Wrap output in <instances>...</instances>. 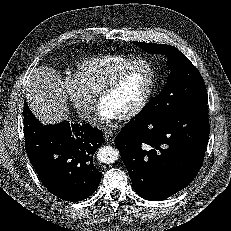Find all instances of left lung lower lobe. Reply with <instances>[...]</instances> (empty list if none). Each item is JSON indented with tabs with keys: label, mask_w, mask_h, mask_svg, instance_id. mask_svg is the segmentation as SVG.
<instances>
[{
	"label": "left lung lower lobe",
	"mask_w": 231,
	"mask_h": 231,
	"mask_svg": "<svg viewBox=\"0 0 231 231\" xmlns=\"http://www.w3.org/2000/svg\"><path fill=\"white\" fill-rule=\"evenodd\" d=\"M210 125L207 105L159 120H131L115 138L136 193L162 200L187 187L199 172Z\"/></svg>",
	"instance_id": "obj_1"
}]
</instances>
